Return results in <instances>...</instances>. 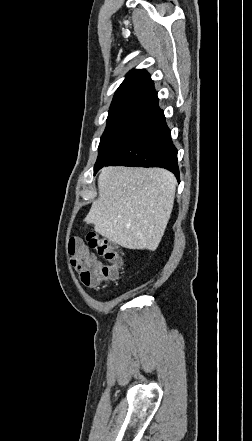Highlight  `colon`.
I'll list each match as a JSON object with an SVG mask.
<instances>
[{"label":"colon","instance_id":"obj_1","mask_svg":"<svg viewBox=\"0 0 252 441\" xmlns=\"http://www.w3.org/2000/svg\"><path fill=\"white\" fill-rule=\"evenodd\" d=\"M86 244L84 245L77 240H72L68 245V250L72 257V267L80 275L81 281L86 286L91 287L114 283L118 279L122 266V259L118 248L94 232L87 234ZM91 250H94L109 264L105 265L99 262Z\"/></svg>","mask_w":252,"mask_h":441}]
</instances>
